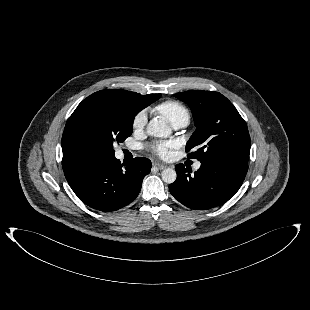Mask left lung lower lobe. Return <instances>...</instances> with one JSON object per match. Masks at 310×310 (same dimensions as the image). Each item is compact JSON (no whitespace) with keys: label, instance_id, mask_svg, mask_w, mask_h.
Segmentation results:
<instances>
[{"label":"left lung lower lobe","instance_id":"left-lung-lower-lobe-1","mask_svg":"<svg viewBox=\"0 0 310 310\" xmlns=\"http://www.w3.org/2000/svg\"><path fill=\"white\" fill-rule=\"evenodd\" d=\"M175 169L177 179L169 185L171 194L189 208L205 210L225 203L239 190L248 165L226 159L203 162L194 175L183 164Z\"/></svg>","mask_w":310,"mask_h":310}]
</instances>
